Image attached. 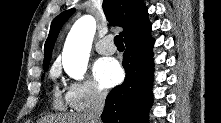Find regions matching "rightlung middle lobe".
<instances>
[{
    "label": "right lung middle lobe",
    "mask_w": 221,
    "mask_h": 123,
    "mask_svg": "<svg viewBox=\"0 0 221 123\" xmlns=\"http://www.w3.org/2000/svg\"><path fill=\"white\" fill-rule=\"evenodd\" d=\"M48 67H49V63L44 65V70L47 71L48 70ZM44 77V74L42 75V78Z\"/></svg>",
    "instance_id": "1"
}]
</instances>
